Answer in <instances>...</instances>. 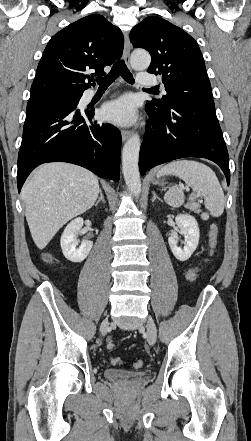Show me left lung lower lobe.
<instances>
[{"label": "left lung lower lobe", "instance_id": "obj_1", "mask_svg": "<svg viewBox=\"0 0 251 441\" xmlns=\"http://www.w3.org/2000/svg\"><path fill=\"white\" fill-rule=\"evenodd\" d=\"M149 124L140 148L141 175L154 166L183 157L209 159L230 182L229 156L213 99L194 98L159 109L149 104Z\"/></svg>", "mask_w": 251, "mask_h": 441}]
</instances>
